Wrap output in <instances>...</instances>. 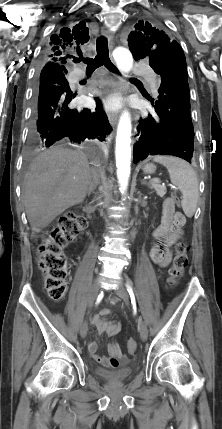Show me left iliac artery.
I'll list each match as a JSON object with an SVG mask.
<instances>
[{
	"label": "left iliac artery",
	"instance_id": "1",
	"mask_svg": "<svg viewBox=\"0 0 222 429\" xmlns=\"http://www.w3.org/2000/svg\"><path fill=\"white\" fill-rule=\"evenodd\" d=\"M127 287V291L129 292V294L131 295V293H133V289L129 284H126Z\"/></svg>",
	"mask_w": 222,
	"mask_h": 429
}]
</instances>
